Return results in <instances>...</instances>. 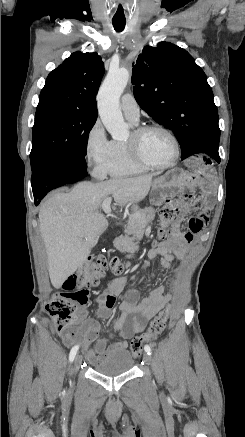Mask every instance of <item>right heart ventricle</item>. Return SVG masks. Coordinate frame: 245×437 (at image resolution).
<instances>
[{"instance_id": "e07e8e85", "label": "right heart ventricle", "mask_w": 245, "mask_h": 437, "mask_svg": "<svg viewBox=\"0 0 245 437\" xmlns=\"http://www.w3.org/2000/svg\"><path fill=\"white\" fill-rule=\"evenodd\" d=\"M148 168L134 162L128 154L125 142L113 141L112 156L107 174L112 178H123L143 174Z\"/></svg>"}]
</instances>
